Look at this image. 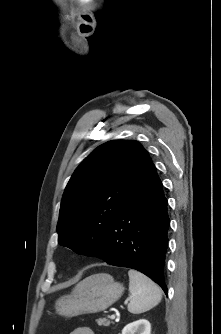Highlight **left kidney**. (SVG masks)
<instances>
[{
    "instance_id": "5707ae66",
    "label": "left kidney",
    "mask_w": 221,
    "mask_h": 334,
    "mask_svg": "<svg viewBox=\"0 0 221 334\" xmlns=\"http://www.w3.org/2000/svg\"><path fill=\"white\" fill-rule=\"evenodd\" d=\"M151 325L146 319H140L133 323H129L122 330V334H150Z\"/></svg>"
}]
</instances>
